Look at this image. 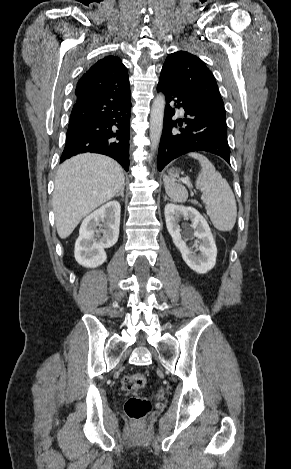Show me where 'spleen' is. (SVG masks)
I'll return each mask as SVG.
<instances>
[{
    "mask_svg": "<svg viewBox=\"0 0 291 469\" xmlns=\"http://www.w3.org/2000/svg\"><path fill=\"white\" fill-rule=\"evenodd\" d=\"M189 156L200 163L201 171L196 180V187L202 192L206 212L212 224L219 231L232 230L237 218V206L228 182L216 171L207 157L199 153H190ZM163 181L166 193L174 202L182 203L187 200L188 192L184 186L166 175Z\"/></svg>",
    "mask_w": 291,
    "mask_h": 469,
    "instance_id": "3e777b00",
    "label": "spleen"
}]
</instances>
